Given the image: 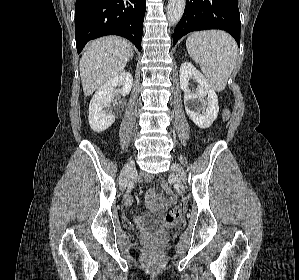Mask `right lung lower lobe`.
I'll use <instances>...</instances> for the list:
<instances>
[{"label": "right lung lower lobe", "mask_w": 299, "mask_h": 280, "mask_svg": "<svg viewBox=\"0 0 299 280\" xmlns=\"http://www.w3.org/2000/svg\"><path fill=\"white\" fill-rule=\"evenodd\" d=\"M146 0H76L75 39L78 54L92 39L119 35L141 51Z\"/></svg>", "instance_id": "98d812e1"}]
</instances>
